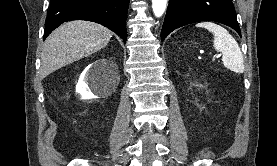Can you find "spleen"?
<instances>
[{"instance_id": "1", "label": "spleen", "mask_w": 277, "mask_h": 166, "mask_svg": "<svg viewBox=\"0 0 277 166\" xmlns=\"http://www.w3.org/2000/svg\"><path fill=\"white\" fill-rule=\"evenodd\" d=\"M196 27L205 28L213 33V47L222 53V61L226 68L236 73L243 71L244 61L240 47L224 27L210 21L197 23Z\"/></svg>"}]
</instances>
